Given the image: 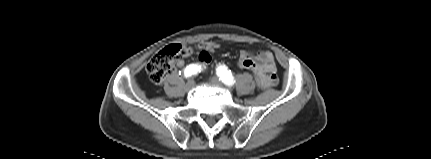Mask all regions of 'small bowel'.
Returning <instances> with one entry per match:
<instances>
[{
    "mask_svg": "<svg viewBox=\"0 0 431 159\" xmlns=\"http://www.w3.org/2000/svg\"><path fill=\"white\" fill-rule=\"evenodd\" d=\"M218 47L219 45L217 43L208 41L192 48H194L195 51L197 48H200V56L202 53L210 54ZM202 49L208 50V52H202ZM184 65L185 62L183 59H178L176 61V66L178 68H182ZM238 66L242 69L251 71L254 75H257L261 81V88H267L277 84V67L274 57L269 51L252 52L242 50L239 55Z\"/></svg>",
    "mask_w": 431,
    "mask_h": 159,
    "instance_id": "small-bowel-1",
    "label": "small bowel"
}]
</instances>
